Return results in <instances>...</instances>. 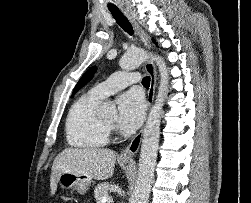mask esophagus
<instances>
[{"mask_svg": "<svg viewBox=\"0 0 251 203\" xmlns=\"http://www.w3.org/2000/svg\"><path fill=\"white\" fill-rule=\"evenodd\" d=\"M125 16L130 20V22L135 27L137 33L139 34L141 40L143 41L146 49L149 51L151 48L150 40L145 33V31L140 27L137 23L136 19L129 13V11L124 10ZM145 70L150 76V87L148 90V105L149 107L152 105L155 95L156 81H157V72L154 63L151 60H147L145 62ZM143 130H141L130 142V144L121 152L120 158L124 160H131L140 148V144L142 141Z\"/></svg>", "mask_w": 251, "mask_h": 203, "instance_id": "1", "label": "esophagus"}]
</instances>
